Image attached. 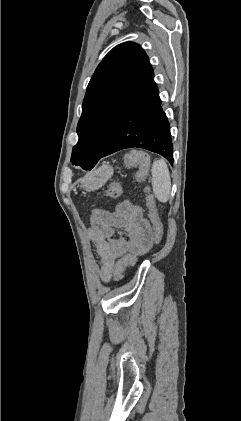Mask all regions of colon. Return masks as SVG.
Returning a JSON list of instances; mask_svg holds the SVG:
<instances>
[{"label":"colon","instance_id":"obj_1","mask_svg":"<svg viewBox=\"0 0 241 421\" xmlns=\"http://www.w3.org/2000/svg\"><path fill=\"white\" fill-rule=\"evenodd\" d=\"M124 166L126 168H138L136 172V179L139 182L144 181L147 176L150 160L148 155L143 151H132L125 155ZM121 188L117 182H112L106 189L105 196L107 199H115L120 196ZM148 217L152 223L154 229V239L156 243H159L163 236V227L158 219L157 211L154 202L151 197L147 198ZM137 257L127 254L121 257L116 264L115 279L121 281L124 278V273L128 267H132L136 264Z\"/></svg>","mask_w":241,"mask_h":421}]
</instances>
